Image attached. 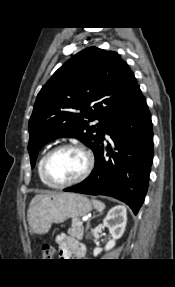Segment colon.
<instances>
[{
  "mask_svg": "<svg viewBox=\"0 0 175 287\" xmlns=\"http://www.w3.org/2000/svg\"><path fill=\"white\" fill-rule=\"evenodd\" d=\"M42 253H43V257L46 260H49L53 257L54 254V248L51 244L49 243H44L42 245Z\"/></svg>",
  "mask_w": 175,
  "mask_h": 287,
  "instance_id": "colon-1",
  "label": "colon"
}]
</instances>
